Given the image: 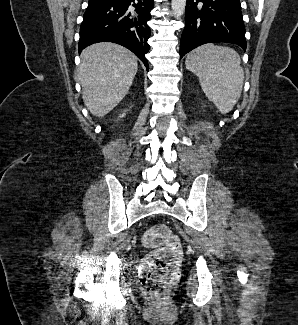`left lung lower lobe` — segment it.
<instances>
[{
	"instance_id": "1",
	"label": "left lung lower lobe",
	"mask_w": 298,
	"mask_h": 325,
	"mask_svg": "<svg viewBox=\"0 0 298 325\" xmlns=\"http://www.w3.org/2000/svg\"><path fill=\"white\" fill-rule=\"evenodd\" d=\"M212 42L233 43L246 50L239 0H187L180 59L192 49Z\"/></svg>"
}]
</instances>
